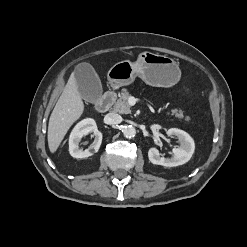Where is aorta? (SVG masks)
Listing matches in <instances>:
<instances>
[{
  "instance_id": "aorta-1",
  "label": "aorta",
  "mask_w": 247,
  "mask_h": 247,
  "mask_svg": "<svg viewBox=\"0 0 247 247\" xmlns=\"http://www.w3.org/2000/svg\"><path fill=\"white\" fill-rule=\"evenodd\" d=\"M123 134L126 138H133L136 135V129L131 125L125 126Z\"/></svg>"
}]
</instances>
